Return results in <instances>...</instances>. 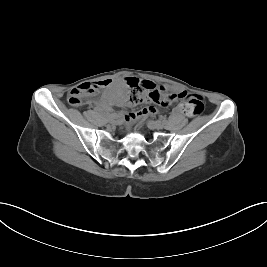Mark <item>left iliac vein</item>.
<instances>
[{"label": "left iliac vein", "mask_w": 267, "mask_h": 267, "mask_svg": "<svg viewBox=\"0 0 267 267\" xmlns=\"http://www.w3.org/2000/svg\"><path fill=\"white\" fill-rule=\"evenodd\" d=\"M148 126L151 129H162L164 127V124L161 121H148Z\"/></svg>", "instance_id": "1"}]
</instances>
